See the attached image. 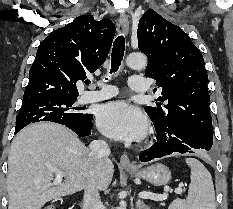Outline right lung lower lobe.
Instances as JSON below:
<instances>
[{"mask_svg": "<svg viewBox=\"0 0 233 209\" xmlns=\"http://www.w3.org/2000/svg\"><path fill=\"white\" fill-rule=\"evenodd\" d=\"M92 119L93 115L89 114L88 118L84 122L65 126L74 131L78 136L85 137L91 134ZM22 128L23 127H16L14 134H17Z\"/></svg>", "mask_w": 233, "mask_h": 209, "instance_id": "1", "label": "right lung lower lobe"}]
</instances>
